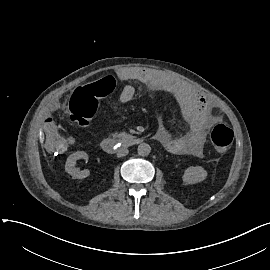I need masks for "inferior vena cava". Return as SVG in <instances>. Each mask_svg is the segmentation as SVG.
Here are the masks:
<instances>
[{"label":"inferior vena cava","instance_id":"602c4592","mask_svg":"<svg viewBox=\"0 0 270 270\" xmlns=\"http://www.w3.org/2000/svg\"><path fill=\"white\" fill-rule=\"evenodd\" d=\"M129 153L128 149H120L117 153V157H123V156H126L127 154Z\"/></svg>","mask_w":270,"mask_h":270}]
</instances>
